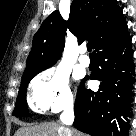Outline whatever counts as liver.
<instances>
[{
	"label": "liver",
	"instance_id": "liver-1",
	"mask_svg": "<svg viewBox=\"0 0 136 136\" xmlns=\"http://www.w3.org/2000/svg\"><path fill=\"white\" fill-rule=\"evenodd\" d=\"M64 134L72 136V131L61 127L57 123L48 122L41 123L39 125L22 127L15 133V136H63ZM77 136L83 135L78 133Z\"/></svg>",
	"mask_w": 136,
	"mask_h": 136
}]
</instances>
